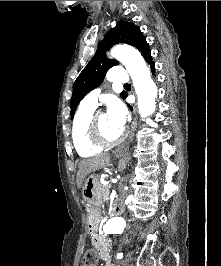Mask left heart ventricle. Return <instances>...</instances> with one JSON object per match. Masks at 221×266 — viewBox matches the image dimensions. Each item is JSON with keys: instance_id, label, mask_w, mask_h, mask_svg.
Returning <instances> with one entry per match:
<instances>
[{"instance_id": "left-heart-ventricle-1", "label": "left heart ventricle", "mask_w": 221, "mask_h": 266, "mask_svg": "<svg viewBox=\"0 0 221 266\" xmlns=\"http://www.w3.org/2000/svg\"><path fill=\"white\" fill-rule=\"evenodd\" d=\"M98 123L102 134L110 140L116 139L121 133L122 129L114 126L108 119L107 115L102 113L98 117Z\"/></svg>"}]
</instances>
